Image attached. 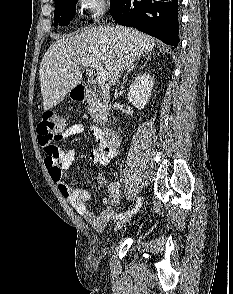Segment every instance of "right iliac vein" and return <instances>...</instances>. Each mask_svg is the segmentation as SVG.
Wrapping results in <instances>:
<instances>
[{"mask_svg":"<svg viewBox=\"0 0 233 294\" xmlns=\"http://www.w3.org/2000/svg\"><path fill=\"white\" fill-rule=\"evenodd\" d=\"M131 218V216H126L122 219H119L117 222H116V225H115V232L119 229H121L128 221L129 219Z\"/></svg>","mask_w":233,"mask_h":294,"instance_id":"obj_1","label":"right iliac vein"}]
</instances>
